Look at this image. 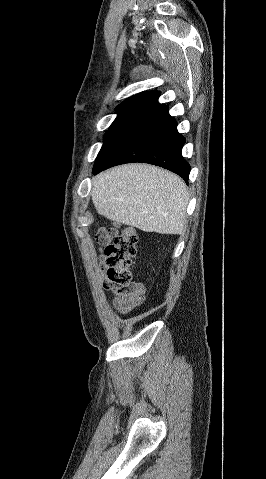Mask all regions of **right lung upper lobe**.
<instances>
[{
	"instance_id": "1",
	"label": "right lung upper lobe",
	"mask_w": 266,
	"mask_h": 479,
	"mask_svg": "<svg viewBox=\"0 0 266 479\" xmlns=\"http://www.w3.org/2000/svg\"><path fill=\"white\" fill-rule=\"evenodd\" d=\"M160 92L158 91H144L136 94L124 102H122L117 108L118 113L128 112L136 113L143 111L151 104L156 102L159 98Z\"/></svg>"
}]
</instances>
